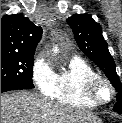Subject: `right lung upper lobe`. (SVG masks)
Returning a JSON list of instances; mask_svg holds the SVG:
<instances>
[{
    "label": "right lung upper lobe",
    "instance_id": "1",
    "mask_svg": "<svg viewBox=\"0 0 122 123\" xmlns=\"http://www.w3.org/2000/svg\"><path fill=\"white\" fill-rule=\"evenodd\" d=\"M42 28L21 14L1 19V53L34 55Z\"/></svg>",
    "mask_w": 122,
    "mask_h": 123
}]
</instances>
